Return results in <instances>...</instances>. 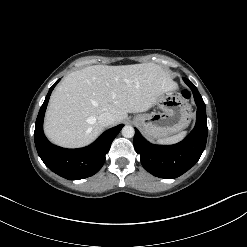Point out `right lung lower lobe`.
Here are the masks:
<instances>
[{
	"mask_svg": "<svg viewBox=\"0 0 247 247\" xmlns=\"http://www.w3.org/2000/svg\"><path fill=\"white\" fill-rule=\"evenodd\" d=\"M59 80L49 89L36 119L34 132L36 149L44 164L54 173L69 180L84 179L101 169L105 155L123 125L105 131L93 144L84 148L65 149L51 144L43 132V118L51 92Z\"/></svg>",
	"mask_w": 247,
	"mask_h": 247,
	"instance_id": "right-lung-lower-lobe-1",
	"label": "right lung lower lobe"
}]
</instances>
